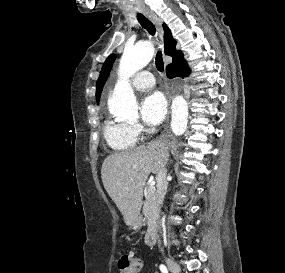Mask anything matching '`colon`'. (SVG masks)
<instances>
[{
  "instance_id": "obj_1",
  "label": "colon",
  "mask_w": 285,
  "mask_h": 273,
  "mask_svg": "<svg viewBox=\"0 0 285 273\" xmlns=\"http://www.w3.org/2000/svg\"><path fill=\"white\" fill-rule=\"evenodd\" d=\"M141 265V259L133 256H123L118 262L120 273H138Z\"/></svg>"
}]
</instances>
